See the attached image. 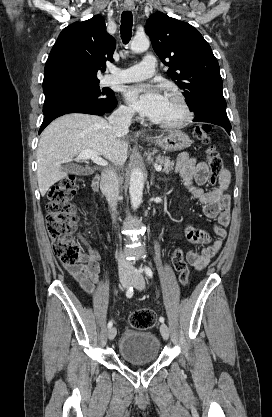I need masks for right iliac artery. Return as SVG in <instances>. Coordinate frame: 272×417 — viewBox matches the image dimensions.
I'll use <instances>...</instances> for the list:
<instances>
[{
    "label": "right iliac artery",
    "instance_id": "obj_1",
    "mask_svg": "<svg viewBox=\"0 0 272 417\" xmlns=\"http://www.w3.org/2000/svg\"><path fill=\"white\" fill-rule=\"evenodd\" d=\"M126 296L128 297V298H131L132 296H133V287L132 286H130L128 289H127V291H126ZM112 325H113V322L110 320L109 322H108V328L110 329L111 327H112Z\"/></svg>",
    "mask_w": 272,
    "mask_h": 417
}]
</instances>
